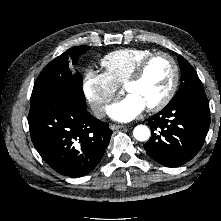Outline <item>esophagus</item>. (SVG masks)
Here are the masks:
<instances>
[{
	"mask_svg": "<svg viewBox=\"0 0 221 221\" xmlns=\"http://www.w3.org/2000/svg\"><path fill=\"white\" fill-rule=\"evenodd\" d=\"M109 127H110L111 130H117V129L125 128L126 126L125 125L110 124Z\"/></svg>",
	"mask_w": 221,
	"mask_h": 221,
	"instance_id": "obj_1",
	"label": "esophagus"
}]
</instances>
